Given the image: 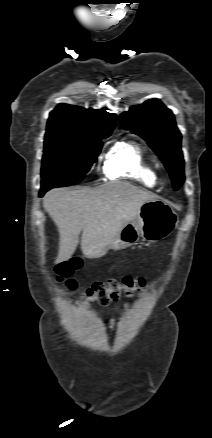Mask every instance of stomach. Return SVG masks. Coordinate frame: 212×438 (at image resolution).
Returning a JSON list of instances; mask_svg holds the SVG:
<instances>
[{"label": "stomach", "instance_id": "stomach-1", "mask_svg": "<svg viewBox=\"0 0 212 438\" xmlns=\"http://www.w3.org/2000/svg\"><path fill=\"white\" fill-rule=\"evenodd\" d=\"M177 224V214L168 204L158 199L147 201L108 248L115 251L124 249L135 244L140 237L149 243L161 241L174 231Z\"/></svg>", "mask_w": 212, "mask_h": 438}]
</instances>
